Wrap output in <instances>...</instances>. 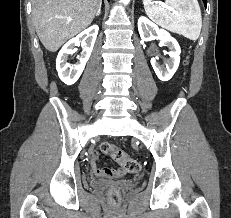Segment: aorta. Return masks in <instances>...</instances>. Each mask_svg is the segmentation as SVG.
<instances>
[{
	"instance_id": "762f6f07",
	"label": "aorta",
	"mask_w": 231,
	"mask_h": 218,
	"mask_svg": "<svg viewBox=\"0 0 231 218\" xmlns=\"http://www.w3.org/2000/svg\"><path fill=\"white\" fill-rule=\"evenodd\" d=\"M121 1H122V3L125 4V5H127V4L130 2V0H121Z\"/></svg>"
}]
</instances>
